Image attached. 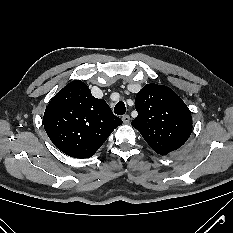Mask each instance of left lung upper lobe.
I'll return each instance as SVG.
<instances>
[{"instance_id":"left-lung-upper-lobe-1","label":"left lung upper lobe","mask_w":233,"mask_h":233,"mask_svg":"<svg viewBox=\"0 0 233 233\" xmlns=\"http://www.w3.org/2000/svg\"><path fill=\"white\" fill-rule=\"evenodd\" d=\"M138 116L132 121L160 155L181 147L192 132V117L183 100L169 87L150 83L136 95Z\"/></svg>"}]
</instances>
